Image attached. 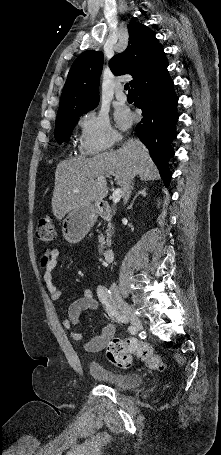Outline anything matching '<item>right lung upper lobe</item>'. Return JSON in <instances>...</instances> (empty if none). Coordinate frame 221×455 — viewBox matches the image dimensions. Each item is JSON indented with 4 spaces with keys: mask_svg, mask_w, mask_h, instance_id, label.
Listing matches in <instances>:
<instances>
[{
    "mask_svg": "<svg viewBox=\"0 0 221 455\" xmlns=\"http://www.w3.org/2000/svg\"><path fill=\"white\" fill-rule=\"evenodd\" d=\"M127 49L112 57L109 66L114 75L130 74V86L144 74L161 55L163 47L155 38V32L145 25L131 21L128 25ZM104 55L100 51H85L70 68L60 99L57 118L86 111L99 102V81Z\"/></svg>",
    "mask_w": 221,
    "mask_h": 455,
    "instance_id": "right-lung-upper-lobe-1",
    "label": "right lung upper lobe"
}]
</instances>
